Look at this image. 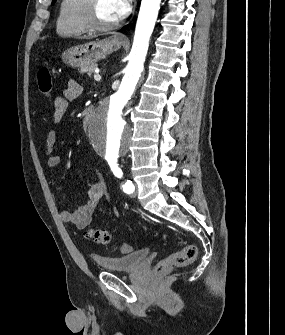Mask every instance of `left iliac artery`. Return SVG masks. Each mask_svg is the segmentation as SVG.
Here are the masks:
<instances>
[{"label":"left iliac artery","mask_w":285,"mask_h":335,"mask_svg":"<svg viewBox=\"0 0 285 335\" xmlns=\"http://www.w3.org/2000/svg\"><path fill=\"white\" fill-rule=\"evenodd\" d=\"M108 163H109L110 168H111L112 172L114 173V175L118 178H121L123 173H122V170L118 167L117 159L108 160ZM122 188H123V191L127 194L133 193V191L135 190V187H134L132 181H130V180H127L122 185Z\"/></svg>","instance_id":"44dca946"}]
</instances>
